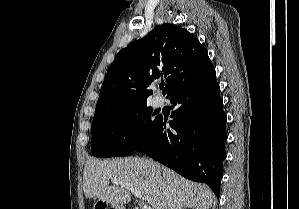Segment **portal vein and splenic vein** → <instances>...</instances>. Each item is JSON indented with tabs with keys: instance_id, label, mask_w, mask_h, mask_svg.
<instances>
[{
	"instance_id": "18ae733b",
	"label": "portal vein and splenic vein",
	"mask_w": 299,
	"mask_h": 209,
	"mask_svg": "<svg viewBox=\"0 0 299 209\" xmlns=\"http://www.w3.org/2000/svg\"><path fill=\"white\" fill-rule=\"evenodd\" d=\"M112 183L113 184H119L120 182L118 180H112ZM128 188L130 189L131 193L134 194L137 198H142L141 193L137 189H135V188H133L131 186H128ZM142 209H151V208L148 205H144L142 207Z\"/></svg>"
}]
</instances>
